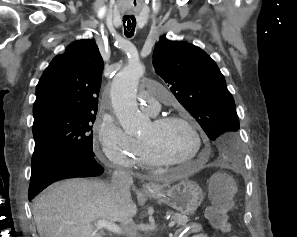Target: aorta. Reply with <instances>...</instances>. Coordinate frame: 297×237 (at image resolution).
<instances>
[{"instance_id": "1", "label": "aorta", "mask_w": 297, "mask_h": 237, "mask_svg": "<svg viewBox=\"0 0 297 237\" xmlns=\"http://www.w3.org/2000/svg\"><path fill=\"white\" fill-rule=\"evenodd\" d=\"M144 71L141 62L131 61L114 77L111 86L114 113L125 133L130 136L140 134L148 120L139 111L136 102V89Z\"/></svg>"}]
</instances>
